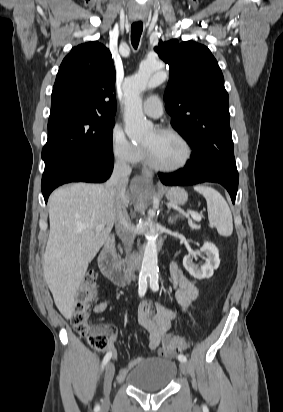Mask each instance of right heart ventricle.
<instances>
[{
    "instance_id": "obj_1",
    "label": "right heart ventricle",
    "mask_w": 283,
    "mask_h": 412,
    "mask_svg": "<svg viewBox=\"0 0 283 412\" xmlns=\"http://www.w3.org/2000/svg\"><path fill=\"white\" fill-rule=\"evenodd\" d=\"M142 159H143V154H141V156H140L139 160H142Z\"/></svg>"
}]
</instances>
